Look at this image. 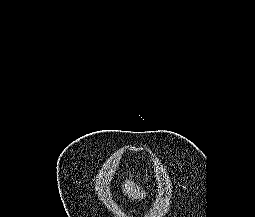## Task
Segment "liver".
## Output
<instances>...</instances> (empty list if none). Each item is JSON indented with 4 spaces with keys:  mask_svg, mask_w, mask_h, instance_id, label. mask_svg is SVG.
I'll return each mask as SVG.
<instances>
[{
    "mask_svg": "<svg viewBox=\"0 0 255 217\" xmlns=\"http://www.w3.org/2000/svg\"><path fill=\"white\" fill-rule=\"evenodd\" d=\"M123 193L128 195L131 200H140L145 198L146 192L141 189V187L134 183V181L126 180L122 186ZM141 189V190H140Z\"/></svg>",
    "mask_w": 255,
    "mask_h": 217,
    "instance_id": "6515ba94",
    "label": "liver"
}]
</instances>
